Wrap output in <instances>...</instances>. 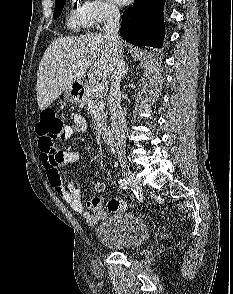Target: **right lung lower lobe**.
<instances>
[{
    "instance_id": "98d812e1",
    "label": "right lung lower lobe",
    "mask_w": 233,
    "mask_h": 294,
    "mask_svg": "<svg viewBox=\"0 0 233 294\" xmlns=\"http://www.w3.org/2000/svg\"><path fill=\"white\" fill-rule=\"evenodd\" d=\"M165 0H134L122 16L121 37L137 46H162Z\"/></svg>"
}]
</instances>
